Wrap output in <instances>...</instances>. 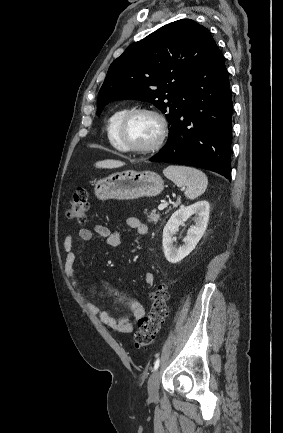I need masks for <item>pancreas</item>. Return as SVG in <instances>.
Returning <instances> with one entry per match:
<instances>
[{
    "label": "pancreas",
    "instance_id": "pancreas-1",
    "mask_svg": "<svg viewBox=\"0 0 283 433\" xmlns=\"http://www.w3.org/2000/svg\"><path fill=\"white\" fill-rule=\"evenodd\" d=\"M145 214H147V210H144ZM149 223H157V221H161L159 212H156L155 208H153L152 212L148 214Z\"/></svg>",
    "mask_w": 283,
    "mask_h": 433
}]
</instances>
